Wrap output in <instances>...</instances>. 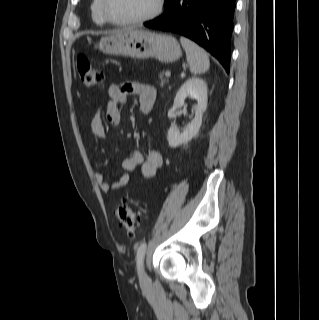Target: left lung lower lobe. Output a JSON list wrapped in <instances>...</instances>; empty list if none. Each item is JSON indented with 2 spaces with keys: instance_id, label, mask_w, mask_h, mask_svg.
<instances>
[{
  "instance_id": "1",
  "label": "left lung lower lobe",
  "mask_w": 319,
  "mask_h": 320,
  "mask_svg": "<svg viewBox=\"0 0 319 320\" xmlns=\"http://www.w3.org/2000/svg\"><path fill=\"white\" fill-rule=\"evenodd\" d=\"M165 8L144 25L190 38L229 72L235 0H166Z\"/></svg>"
}]
</instances>
